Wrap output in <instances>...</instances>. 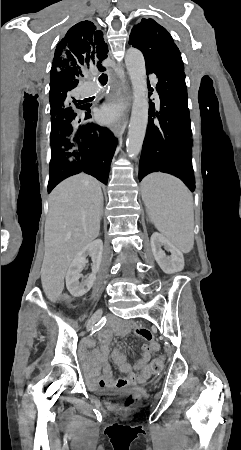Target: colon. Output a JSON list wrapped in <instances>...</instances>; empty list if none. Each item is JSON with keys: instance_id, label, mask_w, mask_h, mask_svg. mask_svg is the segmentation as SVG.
I'll list each match as a JSON object with an SVG mask.
<instances>
[{"instance_id": "1", "label": "colon", "mask_w": 241, "mask_h": 450, "mask_svg": "<svg viewBox=\"0 0 241 450\" xmlns=\"http://www.w3.org/2000/svg\"><path fill=\"white\" fill-rule=\"evenodd\" d=\"M162 369H163V360L161 358H156L152 364V371L155 374H159L162 371ZM135 403H136V395L132 394L124 401V406L132 407L135 405Z\"/></svg>"}]
</instances>
